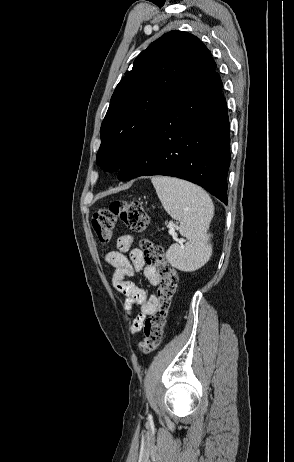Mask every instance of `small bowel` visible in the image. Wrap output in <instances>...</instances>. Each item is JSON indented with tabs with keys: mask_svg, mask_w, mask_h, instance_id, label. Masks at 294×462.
I'll use <instances>...</instances> for the list:
<instances>
[{
	"mask_svg": "<svg viewBox=\"0 0 294 462\" xmlns=\"http://www.w3.org/2000/svg\"><path fill=\"white\" fill-rule=\"evenodd\" d=\"M132 244L133 237L130 234L120 236L117 239V250L108 252L105 261L115 269L113 284L125 296V310L130 312L135 306L140 310L131 325V332L136 333L141 330L146 317L154 311L157 298L155 294L149 293L129 279L143 271L149 283L157 286L158 278L155 269L144 263L143 253L139 249H131Z\"/></svg>",
	"mask_w": 294,
	"mask_h": 462,
	"instance_id": "obj_1",
	"label": "small bowel"
}]
</instances>
